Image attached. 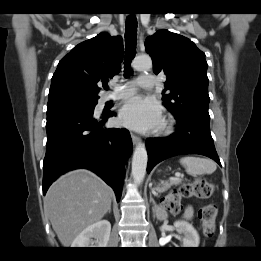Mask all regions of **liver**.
Here are the masks:
<instances>
[{
    "label": "liver",
    "mask_w": 261,
    "mask_h": 261,
    "mask_svg": "<svg viewBox=\"0 0 261 261\" xmlns=\"http://www.w3.org/2000/svg\"><path fill=\"white\" fill-rule=\"evenodd\" d=\"M111 197V188L88 170L69 172L54 182L44 205L61 244L69 247L85 228L100 221Z\"/></svg>",
    "instance_id": "obj_1"
}]
</instances>
